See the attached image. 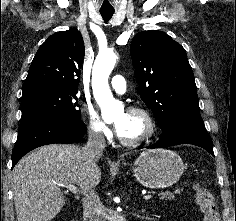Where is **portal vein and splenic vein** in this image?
I'll use <instances>...</instances> for the list:
<instances>
[{"instance_id": "18ae733b", "label": "portal vein and splenic vein", "mask_w": 236, "mask_h": 221, "mask_svg": "<svg viewBox=\"0 0 236 221\" xmlns=\"http://www.w3.org/2000/svg\"><path fill=\"white\" fill-rule=\"evenodd\" d=\"M60 186L62 187H65L67 188L68 190H70L73 194H78L79 193V189L75 186V185H63V184H60ZM152 198V195L151 194H148V195H145L144 196V199L145 200H148V199H151Z\"/></svg>"}]
</instances>
